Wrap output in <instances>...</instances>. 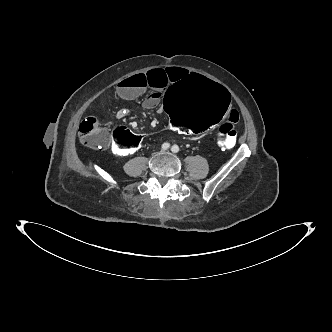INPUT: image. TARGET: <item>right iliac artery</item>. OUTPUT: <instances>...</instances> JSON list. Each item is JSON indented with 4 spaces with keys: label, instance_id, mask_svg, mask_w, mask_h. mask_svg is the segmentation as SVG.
I'll list each match as a JSON object with an SVG mask.
<instances>
[{
    "label": "right iliac artery",
    "instance_id": "82829eb1",
    "mask_svg": "<svg viewBox=\"0 0 332 332\" xmlns=\"http://www.w3.org/2000/svg\"><path fill=\"white\" fill-rule=\"evenodd\" d=\"M169 148H170V144H169V143L166 142V143H163V144H162V149H163V150H167V149H169Z\"/></svg>",
    "mask_w": 332,
    "mask_h": 332
}]
</instances>
